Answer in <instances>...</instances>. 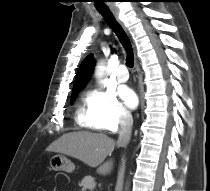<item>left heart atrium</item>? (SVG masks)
Segmentation results:
<instances>
[{"label": "left heart atrium", "mask_w": 210, "mask_h": 191, "mask_svg": "<svg viewBox=\"0 0 210 191\" xmlns=\"http://www.w3.org/2000/svg\"><path fill=\"white\" fill-rule=\"evenodd\" d=\"M119 94L124 101L125 105L129 108H135L138 103V97L136 93L127 86H122L119 89Z\"/></svg>", "instance_id": "obj_1"}]
</instances>
